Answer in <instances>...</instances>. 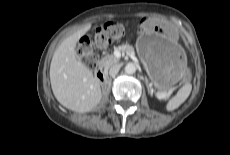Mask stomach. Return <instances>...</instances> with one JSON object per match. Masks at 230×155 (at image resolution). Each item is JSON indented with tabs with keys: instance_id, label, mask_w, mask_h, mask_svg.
Wrapping results in <instances>:
<instances>
[{
	"instance_id": "obj_1",
	"label": "stomach",
	"mask_w": 230,
	"mask_h": 155,
	"mask_svg": "<svg viewBox=\"0 0 230 155\" xmlns=\"http://www.w3.org/2000/svg\"><path fill=\"white\" fill-rule=\"evenodd\" d=\"M136 49L153 86L159 92H165L175 85L186 71L184 49L176 39L162 32L141 34Z\"/></svg>"
}]
</instances>
